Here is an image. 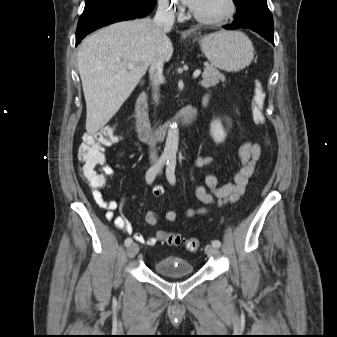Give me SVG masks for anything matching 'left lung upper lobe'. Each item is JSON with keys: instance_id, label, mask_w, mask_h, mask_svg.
<instances>
[{"instance_id": "5c2ea615", "label": "left lung upper lobe", "mask_w": 337, "mask_h": 337, "mask_svg": "<svg viewBox=\"0 0 337 337\" xmlns=\"http://www.w3.org/2000/svg\"><path fill=\"white\" fill-rule=\"evenodd\" d=\"M237 7L235 19L246 16L261 17L267 21H273L266 0H234Z\"/></svg>"}]
</instances>
